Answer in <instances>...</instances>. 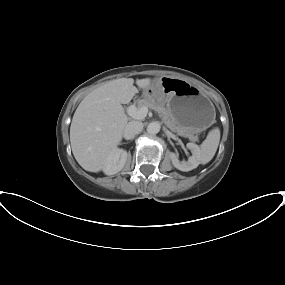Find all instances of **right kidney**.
Masks as SVG:
<instances>
[{"label": "right kidney", "mask_w": 285, "mask_h": 285, "mask_svg": "<svg viewBox=\"0 0 285 285\" xmlns=\"http://www.w3.org/2000/svg\"><path fill=\"white\" fill-rule=\"evenodd\" d=\"M127 160V151L123 149H115L106 164L103 167V172L106 175H113L121 171Z\"/></svg>", "instance_id": "obj_1"}]
</instances>
